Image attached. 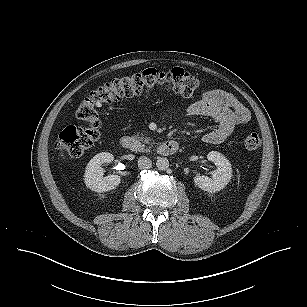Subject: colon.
Here are the masks:
<instances>
[{
	"instance_id": "1",
	"label": "colon",
	"mask_w": 307,
	"mask_h": 307,
	"mask_svg": "<svg viewBox=\"0 0 307 307\" xmlns=\"http://www.w3.org/2000/svg\"><path fill=\"white\" fill-rule=\"evenodd\" d=\"M200 88V80L181 68L168 70L146 69L124 75L107 82L85 98L76 110V117L84 125L66 127L60 134L57 149L62 158L79 157L90 149L100 136L101 120L97 108L125 97H139L156 92L171 91L183 97H190ZM248 150L261 146L257 133H250L242 139Z\"/></svg>"
}]
</instances>
